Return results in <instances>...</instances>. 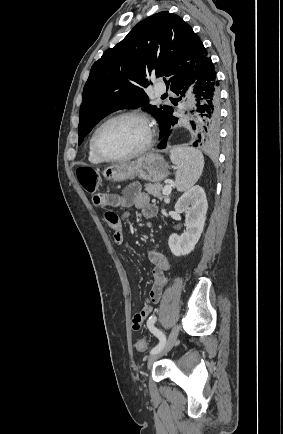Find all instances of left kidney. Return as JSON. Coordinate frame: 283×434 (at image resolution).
<instances>
[{
	"mask_svg": "<svg viewBox=\"0 0 283 434\" xmlns=\"http://www.w3.org/2000/svg\"><path fill=\"white\" fill-rule=\"evenodd\" d=\"M208 209L204 189L196 185L186 191L175 204L178 213H185V231L179 236L171 234L168 245L175 256L191 253L204 229Z\"/></svg>",
	"mask_w": 283,
	"mask_h": 434,
	"instance_id": "obj_1",
	"label": "left kidney"
}]
</instances>
